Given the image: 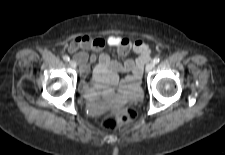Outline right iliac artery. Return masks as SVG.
I'll return each mask as SVG.
<instances>
[{
	"instance_id": "right-iliac-artery-1",
	"label": "right iliac artery",
	"mask_w": 225,
	"mask_h": 155,
	"mask_svg": "<svg viewBox=\"0 0 225 155\" xmlns=\"http://www.w3.org/2000/svg\"><path fill=\"white\" fill-rule=\"evenodd\" d=\"M63 59H64V61H66V62H68V61L70 60L69 56H67V55H65V56L63 57Z\"/></svg>"
}]
</instances>
